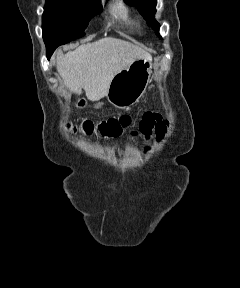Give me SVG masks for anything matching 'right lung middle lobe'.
<instances>
[{"label": "right lung middle lobe", "mask_w": 240, "mask_h": 288, "mask_svg": "<svg viewBox=\"0 0 240 288\" xmlns=\"http://www.w3.org/2000/svg\"><path fill=\"white\" fill-rule=\"evenodd\" d=\"M99 11L100 0H46L42 16L46 49L84 36L90 19Z\"/></svg>", "instance_id": "1"}]
</instances>
